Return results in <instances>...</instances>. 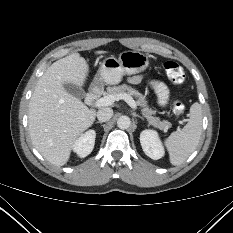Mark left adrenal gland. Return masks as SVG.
Returning <instances> with one entry per match:
<instances>
[{
    "label": "left adrenal gland",
    "instance_id": "left-adrenal-gland-1",
    "mask_svg": "<svg viewBox=\"0 0 233 233\" xmlns=\"http://www.w3.org/2000/svg\"><path fill=\"white\" fill-rule=\"evenodd\" d=\"M133 117H138V118H140V119L144 120V118H143L142 116H140V115L136 114L135 112H133Z\"/></svg>",
    "mask_w": 233,
    "mask_h": 233
}]
</instances>
